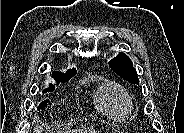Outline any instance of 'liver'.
<instances>
[{
    "mask_svg": "<svg viewBox=\"0 0 184 133\" xmlns=\"http://www.w3.org/2000/svg\"><path fill=\"white\" fill-rule=\"evenodd\" d=\"M82 131H83V130H74V131H72V132L77 133V132H82ZM85 132H89V133H97V131H96V130H94V129L85 130Z\"/></svg>",
    "mask_w": 184,
    "mask_h": 133,
    "instance_id": "1",
    "label": "liver"
}]
</instances>
